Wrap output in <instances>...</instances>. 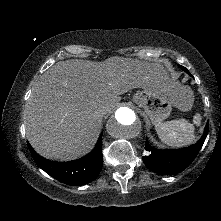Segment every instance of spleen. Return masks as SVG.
<instances>
[{"mask_svg": "<svg viewBox=\"0 0 221 221\" xmlns=\"http://www.w3.org/2000/svg\"><path fill=\"white\" fill-rule=\"evenodd\" d=\"M201 117L196 114L193 124L185 119L156 123L155 129L161 141L169 146L181 147L195 141L194 124L199 125Z\"/></svg>", "mask_w": 221, "mask_h": 221, "instance_id": "obj_1", "label": "spleen"}]
</instances>
